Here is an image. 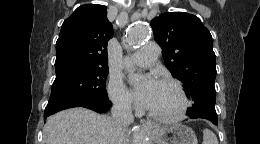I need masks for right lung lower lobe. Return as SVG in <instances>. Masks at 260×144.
I'll list each match as a JSON object with an SVG mask.
<instances>
[{
	"label": "right lung lower lobe",
	"mask_w": 260,
	"mask_h": 144,
	"mask_svg": "<svg viewBox=\"0 0 260 144\" xmlns=\"http://www.w3.org/2000/svg\"><path fill=\"white\" fill-rule=\"evenodd\" d=\"M112 103L111 101L107 100H100V101H96L90 104H69V105H61V106H56V107H51V108H47L44 111V119H46L48 116L64 110V109H68V108H72V107H84V108H88L91 109L93 111H96L98 113H104L106 111H108L111 107Z\"/></svg>",
	"instance_id": "obj_1"
}]
</instances>
